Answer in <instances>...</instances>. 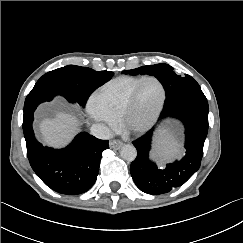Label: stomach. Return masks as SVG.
<instances>
[{"label": "stomach", "mask_w": 243, "mask_h": 243, "mask_svg": "<svg viewBox=\"0 0 243 243\" xmlns=\"http://www.w3.org/2000/svg\"><path fill=\"white\" fill-rule=\"evenodd\" d=\"M159 145H160V141H159ZM159 149L161 150V146H159Z\"/></svg>", "instance_id": "stomach-1"}]
</instances>
